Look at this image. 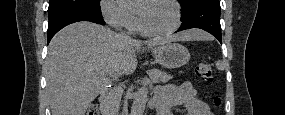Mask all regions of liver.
Masks as SVG:
<instances>
[{
    "mask_svg": "<svg viewBox=\"0 0 285 115\" xmlns=\"http://www.w3.org/2000/svg\"><path fill=\"white\" fill-rule=\"evenodd\" d=\"M201 30H188L173 38L142 42L122 38L108 28L77 22L60 30L51 40L45 61L47 95L52 115H84L90 103L107 88L112 78L132 74L136 52L174 40L207 38Z\"/></svg>",
    "mask_w": 285,
    "mask_h": 115,
    "instance_id": "obj_1",
    "label": "liver"
}]
</instances>
